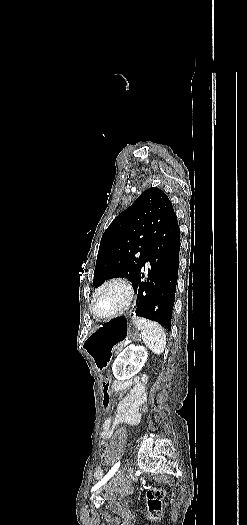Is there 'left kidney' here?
Returning a JSON list of instances; mask_svg holds the SVG:
<instances>
[{
	"instance_id": "5707ae66",
	"label": "left kidney",
	"mask_w": 247,
	"mask_h": 525,
	"mask_svg": "<svg viewBox=\"0 0 247 525\" xmlns=\"http://www.w3.org/2000/svg\"><path fill=\"white\" fill-rule=\"evenodd\" d=\"M147 349L145 347H135V345H129L126 347L120 355H118L115 363H113V375L115 377H122L124 373H129V377H134L139 371H141L144 363L147 359ZM130 365L128 371L125 367Z\"/></svg>"
}]
</instances>
